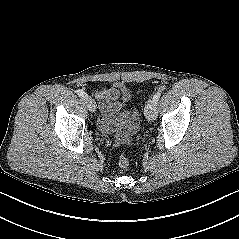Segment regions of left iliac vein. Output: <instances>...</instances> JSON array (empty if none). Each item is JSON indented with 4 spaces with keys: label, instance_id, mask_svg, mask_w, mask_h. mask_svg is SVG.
Listing matches in <instances>:
<instances>
[{
    "label": "left iliac vein",
    "instance_id": "4c4485c4",
    "mask_svg": "<svg viewBox=\"0 0 239 239\" xmlns=\"http://www.w3.org/2000/svg\"><path fill=\"white\" fill-rule=\"evenodd\" d=\"M145 117L148 121H154L157 117L156 103L149 100L144 111Z\"/></svg>",
    "mask_w": 239,
    "mask_h": 239
}]
</instances>
